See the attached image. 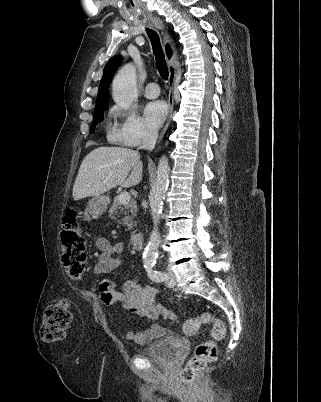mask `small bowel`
<instances>
[{"mask_svg":"<svg viewBox=\"0 0 321 402\" xmlns=\"http://www.w3.org/2000/svg\"><path fill=\"white\" fill-rule=\"evenodd\" d=\"M95 244L100 252L94 265L96 274L110 273L121 264L123 246L120 243L110 244L106 239L98 238ZM98 291L102 303L110 310L121 306L150 320L173 317L170 311L157 303L158 290L153 286H143L133 280H127L121 288H118L114 283L104 282L99 285ZM164 333V327L154 323L141 332L127 331L126 338L138 345H145L163 336Z\"/></svg>","mask_w":321,"mask_h":402,"instance_id":"1","label":"small bowel"}]
</instances>
